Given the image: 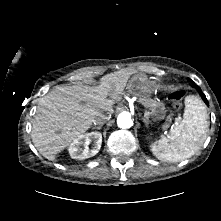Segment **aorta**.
<instances>
[{
    "mask_svg": "<svg viewBox=\"0 0 221 221\" xmlns=\"http://www.w3.org/2000/svg\"><path fill=\"white\" fill-rule=\"evenodd\" d=\"M117 125L119 128L128 129L133 125L131 114L129 112H122L117 117Z\"/></svg>",
    "mask_w": 221,
    "mask_h": 221,
    "instance_id": "762f6f07",
    "label": "aorta"
}]
</instances>
